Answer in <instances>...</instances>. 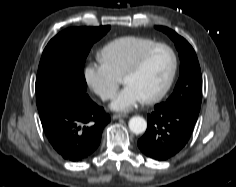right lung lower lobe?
I'll return each mask as SVG.
<instances>
[{"instance_id": "98d812e1", "label": "right lung lower lobe", "mask_w": 236, "mask_h": 187, "mask_svg": "<svg viewBox=\"0 0 236 187\" xmlns=\"http://www.w3.org/2000/svg\"><path fill=\"white\" fill-rule=\"evenodd\" d=\"M53 148L67 161L80 162L97 149L110 116L85 92L58 91L39 114Z\"/></svg>"}]
</instances>
